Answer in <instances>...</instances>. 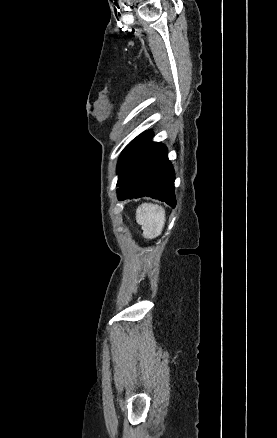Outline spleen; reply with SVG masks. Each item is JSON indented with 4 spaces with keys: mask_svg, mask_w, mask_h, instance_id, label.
Segmentation results:
<instances>
[{
    "mask_svg": "<svg viewBox=\"0 0 277 438\" xmlns=\"http://www.w3.org/2000/svg\"><path fill=\"white\" fill-rule=\"evenodd\" d=\"M136 222L143 230V238L160 236L165 224V210L157 204H141L136 210Z\"/></svg>",
    "mask_w": 277,
    "mask_h": 438,
    "instance_id": "spleen-1",
    "label": "spleen"
}]
</instances>
